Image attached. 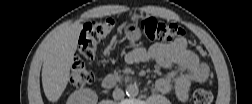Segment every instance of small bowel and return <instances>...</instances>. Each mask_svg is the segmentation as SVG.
Segmentation results:
<instances>
[{
    "instance_id": "obj_1",
    "label": "small bowel",
    "mask_w": 252,
    "mask_h": 104,
    "mask_svg": "<svg viewBox=\"0 0 252 104\" xmlns=\"http://www.w3.org/2000/svg\"><path fill=\"white\" fill-rule=\"evenodd\" d=\"M155 61L167 73L156 81V89L163 94L174 89L180 101L188 99L189 88L194 83L205 82L208 67L187 48L186 39L180 37L170 43H155L149 48L136 47L125 56L127 64Z\"/></svg>"
}]
</instances>
